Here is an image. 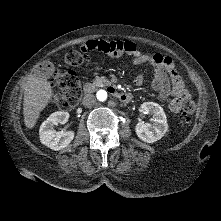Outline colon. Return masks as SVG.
<instances>
[{
	"label": "colon",
	"mask_w": 221,
	"mask_h": 221,
	"mask_svg": "<svg viewBox=\"0 0 221 221\" xmlns=\"http://www.w3.org/2000/svg\"><path fill=\"white\" fill-rule=\"evenodd\" d=\"M88 60L87 54L82 51L71 50L64 57V64L69 67H77ZM54 86L60 89L53 101L60 109H70L75 107L81 99V84L77 74L73 70L56 71L51 78ZM195 110V103L192 100H186L183 104L182 123L188 124Z\"/></svg>",
	"instance_id": "colon-1"
}]
</instances>
